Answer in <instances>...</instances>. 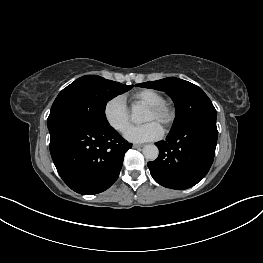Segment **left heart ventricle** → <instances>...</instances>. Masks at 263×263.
I'll use <instances>...</instances> for the list:
<instances>
[{
	"mask_svg": "<svg viewBox=\"0 0 263 263\" xmlns=\"http://www.w3.org/2000/svg\"><path fill=\"white\" fill-rule=\"evenodd\" d=\"M144 121L149 122V121H155L161 125V120L160 118L152 112L150 109L146 110L145 116H144Z\"/></svg>",
	"mask_w": 263,
	"mask_h": 263,
	"instance_id": "obj_1",
	"label": "left heart ventricle"
}]
</instances>
